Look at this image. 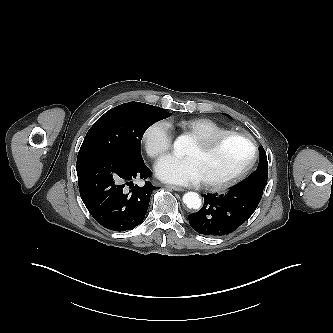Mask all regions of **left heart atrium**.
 <instances>
[{"instance_id":"1","label":"left heart atrium","mask_w":333,"mask_h":333,"mask_svg":"<svg viewBox=\"0 0 333 333\" xmlns=\"http://www.w3.org/2000/svg\"><path fill=\"white\" fill-rule=\"evenodd\" d=\"M155 169L157 176L166 182L197 185L203 181L196 161L190 157L168 155L157 162Z\"/></svg>"}]
</instances>
